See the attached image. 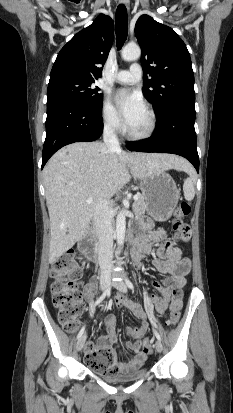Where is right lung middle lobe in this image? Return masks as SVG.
I'll return each instance as SVG.
<instances>
[{
    "mask_svg": "<svg viewBox=\"0 0 233 413\" xmlns=\"http://www.w3.org/2000/svg\"><path fill=\"white\" fill-rule=\"evenodd\" d=\"M94 80L65 77L49 81L47 101L54 99H70L94 110H102L103 94L100 88L92 86Z\"/></svg>",
    "mask_w": 233,
    "mask_h": 413,
    "instance_id": "right-lung-middle-lobe-1",
    "label": "right lung middle lobe"
}]
</instances>
